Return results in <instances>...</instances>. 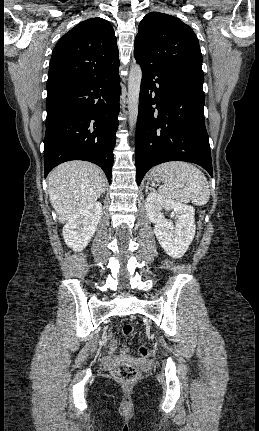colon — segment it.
Listing matches in <instances>:
<instances>
[{
  "label": "colon",
  "mask_w": 259,
  "mask_h": 431,
  "mask_svg": "<svg viewBox=\"0 0 259 431\" xmlns=\"http://www.w3.org/2000/svg\"><path fill=\"white\" fill-rule=\"evenodd\" d=\"M62 1V0H61ZM201 227L202 224H200V229L198 232V236L201 235ZM132 325L131 324H124L122 326V333L125 336H128L132 333ZM118 349V344L116 341H113L110 347V351L114 352ZM120 351L122 353H127L128 352V347L127 346H123L120 348ZM138 353L140 356L144 357V358H149L151 356V350L147 347V346H141L138 349ZM111 374L112 376L121 382H133L135 380L138 379L139 377V370L134 367L133 365H130L128 363L125 362H116L111 369Z\"/></svg>",
  "instance_id": "colon-1"
}]
</instances>
